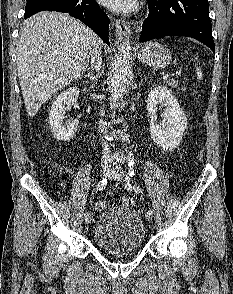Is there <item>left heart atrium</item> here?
<instances>
[{"instance_id": "39dd6f15", "label": "left heart atrium", "mask_w": 233, "mask_h": 294, "mask_svg": "<svg viewBox=\"0 0 233 294\" xmlns=\"http://www.w3.org/2000/svg\"><path fill=\"white\" fill-rule=\"evenodd\" d=\"M102 5L117 11V12H131L136 9V0H98Z\"/></svg>"}]
</instances>
